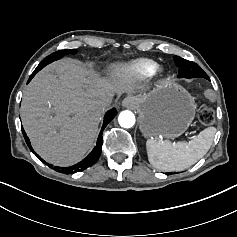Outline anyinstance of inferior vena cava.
Masks as SVG:
<instances>
[{
    "instance_id": "inferior-vena-cava-1",
    "label": "inferior vena cava",
    "mask_w": 237,
    "mask_h": 237,
    "mask_svg": "<svg viewBox=\"0 0 237 237\" xmlns=\"http://www.w3.org/2000/svg\"><path fill=\"white\" fill-rule=\"evenodd\" d=\"M114 94L110 93V94H105L100 96L99 98V104L102 108L108 107L111 105L112 100H113Z\"/></svg>"
}]
</instances>
